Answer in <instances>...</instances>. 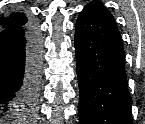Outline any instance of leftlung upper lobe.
Masks as SVG:
<instances>
[{"mask_svg":"<svg viewBox=\"0 0 145 124\" xmlns=\"http://www.w3.org/2000/svg\"><path fill=\"white\" fill-rule=\"evenodd\" d=\"M88 5H97V6H99V7H101V8L106 10V8L100 2H98V1L91 2Z\"/></svg>","mask_w":145,"mask_h":124,"instance_id":"1","label":"left lung upper lobe"}]
</instances>
